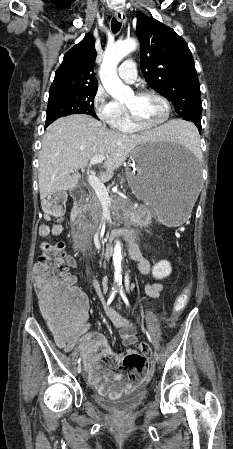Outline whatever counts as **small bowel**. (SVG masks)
I'll return each mask as SVG.
<instances>
[{
  "instance_id": "obj_1",
  "label": "small bowel",
  "mask_w": 233,
  "mask_h": 449,
  "mask_svg": "<svg viewBox=\"0 0 233 449\" xmlns=\"http://www.w3.org/2000/svg\"><path fill=\"white\" fill-rule=\"evenodd\" d=\"M61 231V226H53L54 234H60ZM66 262L70 266H78L77 260L73 257H68ZM138 268L144 275L150 272V264L143 258H138ZM92 288L96 295L102 294L101 285L96 280L92 282ZM162 289V283L147 284L145 286V294L150 300H154L160 296ZM112 322L119 331L123 345L133 346L137 343L136 328L129 321L117 314H113ZM79 340L81 341L80 351L87 370L88 380L94 387L100 390V399H125L126 394L130 390H137L138 384H144L146 372L142 368L138 370V375H112L111 368L101 363L102 358L105 357L113 358L115 362L120 361V355L113 351L103 335L94 333L82 338V332H61L56 334L58 345L66 351L72 350L75 343Z\"/></svg>"
}]
</instances>
